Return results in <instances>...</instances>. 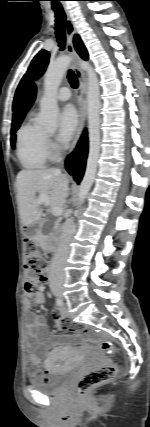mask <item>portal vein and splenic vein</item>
Masks as SVG:
<instances>
[{
	"label": "portal vein and splenic vein",
	"instance_id": "obj_1",
	"mask_svg": "<svg viewBox=\"0 0 150 427\" xmlns=\"http://www.w3.org/2000/svg\"><path fill=\"white\" fill-rule=\"evenodd\" d=\"M38 202L44 203L45 205H49V197L46 194H40L38 197ZM51 213L54 216H61L62 208L61 207H54V208H52Z\"/></svg>",
	"mask_w": 150,
	"mask_h": 427
}]
</instances>
